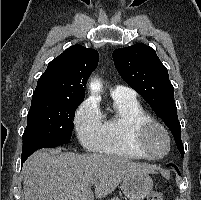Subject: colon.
<instances>
[{
  "instance_id": "colon-1",
  "label": "colon",
  "mask_w": 201,
  "mask_h": 200,
  "mask_svg": "<svg viewBox=\"0 0 201 200\" xmlns=\"http://www.w3.org/2000/svg\"><path fill=\"white\" fill-rule=\"evenodd\" d=\"M147 200H163V194L158 191H153L149 194Z\"/></svg>"
}]
</instances>
